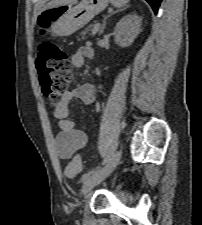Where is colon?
I'll return each mask as SVG.
<instances>
[{
	"mask_svg": "<svg viewBox=\"0 0 202 225\" xmlns=\"http://www.w3.org/2000/svg\"><path fill=\"white\" fill-rule=\"evenodd\" d=\"M50 12L38 16L39 25L44 28L50 23ZM39 82L46 102L50 105L58 104L72 81V66L66 53L51 42H43L38 47ZM81 165L77 160L71 161L66 167L69 177L81 172Z\"/></svg>",
	"mask_w": 202,
	"mask_h": 225,
	"instance_id": "colon-1",
	"label": "colon"
}]
</instances>
